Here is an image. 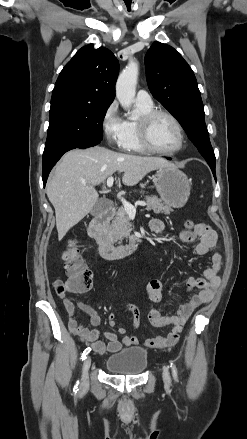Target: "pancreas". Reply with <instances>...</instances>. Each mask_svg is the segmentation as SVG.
Listing matches in <instances>:
<instances>
[{
  "mask_svg": "<svg viewBox=\"0 0 247 439\" xmlns=\"http://www.w3.org/2000/svg\"><path fill=\"white\" fill-rule=\"evenodd\" d=\"M147 210H153L155 214L164 213L170 214L172 208L166 206L161 199L157 196H146ZM133 230L130 218L125 211L124 207L117 209L114 221L109 226L108 234L114 242L122 243L124 238L132 239L134 236L131 235Z\"/></svg>",
  "mask_w": 247,
  "mask_h": 439,
  "instance_id": "obj_1",
  "label": "pancreas"
}]
</instances>
